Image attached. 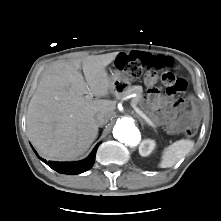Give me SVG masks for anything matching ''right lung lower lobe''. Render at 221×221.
I'll use <instances>...</instances> for the list:
<instances>
[{"instance_id": "obj_1", "label": "right lung lower lobe", "mask_w": 221, "mask_h": 221, "mask_svg": "<svg viewBox=\"0 0 221 221\" xmlns=\"http://www.w3.org/2000/svg\"><path fill=\"white\" fill-rule=\"evenodd\" d=\"M98 146H99V144H97L95 146V148L93 149L92 153L86 159H84L82 161H76V162L49 161V162H46V160L42 159L41 157H39V158L43 162H45L49 167H51L52 169H54L55 171H57L59 173L76 175L79 173H83L92 167V165L95 162V156H96V151H97Z\"/></svg>"}]
</instances>
